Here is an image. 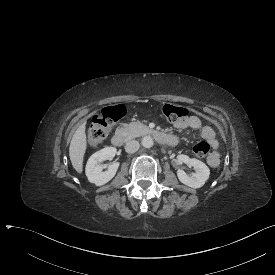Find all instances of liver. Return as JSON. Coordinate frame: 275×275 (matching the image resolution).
Returning a JSON list of instances; mask_svg holds the SVG:
<instances>
[{"instance_id": "liver-1", "label": "liver", "mask_w": 275, "mask_h": 275, "mask_svg": "<svg viewBox=\"0 0 275 275\" xmlns=\"http://www.w3.org/2000/svg\"><path fill=\"white\" fill-rule=\"evenodd\" d=\"M86 123L84 121L74 132L70 146L69 157L72 167L78 174L83 173V161L87 150Z\"/></svg>"}]
</instances>
